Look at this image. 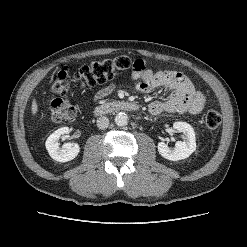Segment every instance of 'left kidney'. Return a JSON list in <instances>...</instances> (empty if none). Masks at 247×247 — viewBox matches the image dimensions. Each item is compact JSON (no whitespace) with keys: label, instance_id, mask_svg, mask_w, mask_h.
Listing matches in <instances>:
<instances>
[{"label":"left kidney","instance_id":"1","mask_svg":"<svg viewBox=\"0 0 247 247\" xmlns=\"http://www.w3.org/2000/svg\"><path fill=\"white\" fill-rule=\"evenodd\" d=\"M173 128L182 132L185 140L177 141L172 149L164 142H159L157 148L159 154L165 159L177 161L189 157L196 150V138L194 129L186 122H175Z\"/></svg>","mask_w":247,"mask_h":247}]
</instances>
